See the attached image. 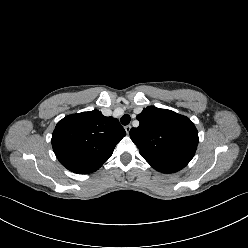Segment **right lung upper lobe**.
<instances>
[{
	"instance_id": "1",
	"label": "right lung upper lobe",
	"mask_w": 248,
	"mask_h": 248,
	"mask_svg": "<svg viewBox=\"0 0 248 248\" xmlns=\"http://www.w3.org/2000/svg\"><path fill=\"white\" fill-rule=\"evenodd\" d=\"M126 135L119 121L98 110L68 115L52 135V147L60 163L77 174L98 170Z\"/></svg>"
}]
</instances>
